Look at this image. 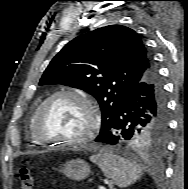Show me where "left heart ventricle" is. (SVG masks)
Here are the masks:
<instances>
[{
	"label": "left heart ventricle",
	"instance_id": "1",
	"mask_svg": "<svg viewBox=\"0 0 188 189\" xmlns=\"http://www.w3.org/2000/svg\"><path fill=\"white\" fill-rule=\"evenodd\" d=\"M85 105L73 97H60L50 103L40 123L45 139H69L80 135L88 123Z\"/></svg>",
	"mask_w": 188,
	"mask_h": 189
}]
</instances>
